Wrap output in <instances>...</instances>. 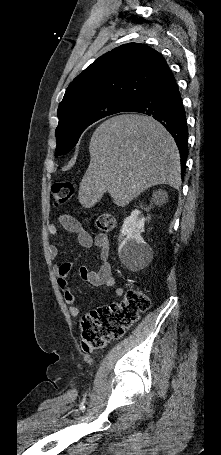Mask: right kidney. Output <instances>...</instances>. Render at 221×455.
<instances>
[{"instance_id": "obj_1", "label": "right kidney", "mask_w": 221, "mask_h": 455, "mask_svg": "<svg viewBox=\"0 0 221 455\" xmlns=\"http://www.w3.org/2000/svg\"><path fill=\"white\" fill-rule=\"evenodd\" d=\"M144 224V216L139 210H134L122 225L118 254L122 264L130 270L146 263L151 256V248L141 236Z\"/></svg>"}]
</instances>
